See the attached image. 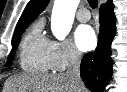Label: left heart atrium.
<instances>
[{
	"mask_svg": "<svg viewBox=\"0 0 127 92\" xmlns=\"http://www.w3.org/2000/svg\"><path fill=\"white\" fill-rule=\"evenodd\" d=\"M75 42L81 51H89L96 45V35L89 25H80L75 31Z\"/></svg>",
	"mask_w": 127,
	"mask_h": 92,
	"instance_id": "obj_1",
	"label": "left heart atrium"
}]
</instances>
